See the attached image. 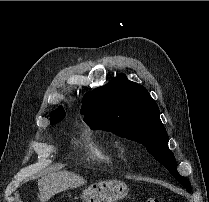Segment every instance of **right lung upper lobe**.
Here are the masks:
<instances>
[{"label":"right lung upper lobe","instance_id":"right-lung-upper-lobe-1","mask_svg":"<svg viewBox=\"0 0 209 202\" xmlns=\"http://www.w3.org/2000/svg\"><path fill=\"white\" fill-rule=\"evenodd\" d=\"M61 109H63L62 107H59L57 110H61ZM56 110V111H57ZM64 110V109H63ZM55 112V111H54ZM54 112H52V113H54ZM55 122L51 119V124H54Z\"/></svg>","mask_w":209,"mask_h":202}]
</instances>
